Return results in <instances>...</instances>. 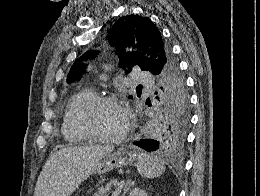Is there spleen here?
<instances>
[{
  "mask_svg": "<svg viewBox=\"0 0 260 196\" xmlns=\"http://www.w3.org/2000/svg\"><path fill=\"white\" fill-rule=\"evenodd\" d=\"M137 168L143 178H159L165 172V164L153 154H139Z\"/></svg>",
  "mask_w": 260,
  "mask_h": 196,
  "instance_id": "obj_1",
  "label": "spleen"
}]
</instances>
